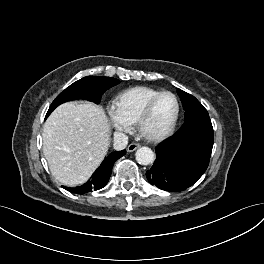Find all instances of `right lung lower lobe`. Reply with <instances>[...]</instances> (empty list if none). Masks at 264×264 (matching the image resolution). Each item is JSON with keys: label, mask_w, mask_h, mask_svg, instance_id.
<instances>
[{"label": "right lung lower lobe", "mask_w": 264, "mask_h": 264, "mask_svg": "<svg viewBox=\"0 0 264 264\" xmlns=\"http://www.w3.org/2000/svg\"><path fill=\"white\" fill-rule=\"evenodd\" d=\"M125 154L126 150L112 152L104 159V161L92 175L91 179L85 184L73 188L63 186V188L76 194H85L103 188L109 181L115 160L119 159Z\"/></svg>", "instance_id": "obj_1"}]
</instances>
